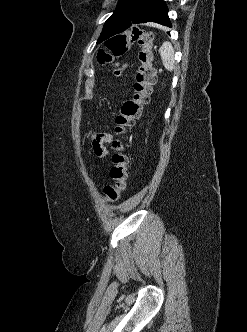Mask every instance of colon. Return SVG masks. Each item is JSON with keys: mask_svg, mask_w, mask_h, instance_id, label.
Listing matches in <instances>:
<instances>
[{"mask_svg": "<svg viewBox=\"0 0 247 332\" xmlns=\"http://www.w3.org/2000/svg\"><path fill=\"white\" fill-rule=\"evenodd\" d=\"M153 35L137 26L130 27L126 32L112 37L106 44L107 51L101 50L97 59L100 64H111L113 58L123 55L132 42H137L140 46L139 60L140 67L134 83V93L126 100L120 113L115 118V133L117 138L111 142L114 150L112 156L113 166L110 170L112 184L104 186L102 196L108 202L119 199L126 189L128 178L129 157L126 152V145L123 137L134 127L139 119L143 107L149 102L152 86L156 81V72L153 66L152 52ZM115 75H121L125 67L114 64Z\"/></svg>", "mask_w": 247, "mask_h": 332, "instance_id": "obj_1", "label": "colon"}]
</instances>
